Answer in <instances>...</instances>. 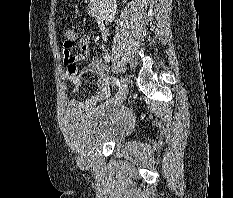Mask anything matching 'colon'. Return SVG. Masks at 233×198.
Instances as JSON below:
<instances>
[{
	"label": "colon",
	"mask_w": 233,
	"mask_h": 198,
	"mask_svg": "<svg viewBox=\"0 0 233 198\" xmlns=\"http://www.w3.org/2000/svg\"><path fill=\"white\" fill-rule=\"evenodd\" d=\"M78 41L77 33L72 29H65L63 31V46L66 48H73Z\"/></svg>",
	"instance_id": "5ec220e1"
}]
</instances>
